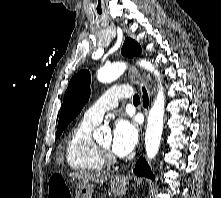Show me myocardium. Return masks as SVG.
Listing matches in <instances>:
<instances>
[{
	"label": "myocardium",
	"instance_id": "obj_1",
	"mask_svg": "<svg viewBox=\"0 0 221 198\" xmlns=\"http://www.w3.org/2000/svg\"><path fill=\"white\" fill-rule=\"evenodd\" d=\"M99 153L106 164H113L116 162L115 156L111 153L110 148L102 146L100 143H96Z\"/></svg>",
	"mask_w": 221,
	"mask_h": 198
}]
</instances>
